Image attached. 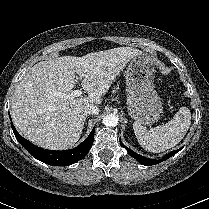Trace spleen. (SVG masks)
Instances as JSON below:
<instances>
[{"instance_id":"3e777b00","label":"spleen","mask_w":209,"mask_h":209,"mask_svg":"<svg viewBox=\"0 0 209 209\" xmlns=\"http://www.w3.org/2000/svg\"><path fill=\"white\" fill-rule=\"evenodd\" d=\"M191 124V113L187 107H181L165 125L147 130L139 122L133 123L135 136L139 144L147 151L160 153L176 146L186 135Z\"/></svg>"}]
</instances>
